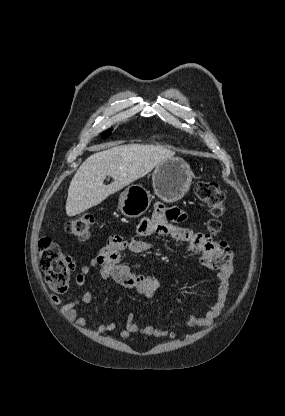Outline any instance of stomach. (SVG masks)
Masks as SVG:
<instances>
[{
    "mask_svg": "<svg viewBox=\"0 0 285 416\" xmlns=\"http://www.w3.org/2000/svg\"><path fill=\"white\" fill-rule=\"evenodd\" d=\"M192 176L191 168L185 160L168 158L157 164L152 174L154 192L167 204L177 202L189 192ZM150 204L149 192L139 184H132L120 194L118 210L126 218H139L147 212Z\"/></svg>",
    "mask_w": 285,
    "mask_h": 416,
    "instance_id": "0dacf381",
    "label": "stomach"
}]
</instances>
